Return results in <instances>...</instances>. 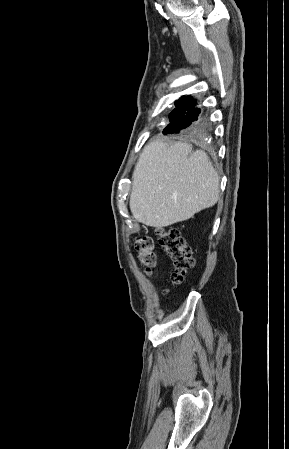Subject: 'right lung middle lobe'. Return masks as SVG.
<instances>
[{
	"instance_id": "right-lung-middle-lobe-1",
	"label": "right lung middle lobe",
	"mask_w": 289,
	"mask_h": 449,
	"mask_svg": "<svg viewBox=\"0 0 289 449\" xmlns=\"http://www.w3.org/2000/svg\"><path fill=\"white\" fill-rule=\"evenodd\" d=\"M172 114L169 115V118H171ZM164 134H175V133H170L169 127H166L163 131Z\"/></svg>"
}]
</instances>
